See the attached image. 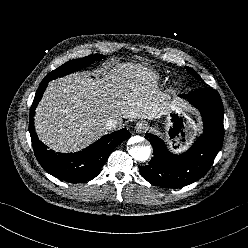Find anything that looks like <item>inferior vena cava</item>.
Wrapping results in <instances>:
<instances>
[{
  "mask_svg": "<svg viewBox=\"0 0 248 248\" xmlns=\"http://www.w3.org/2000/svg\"><path fill=\"white\" fill-rule=\"evenodd\" d=\"M118 126V121L115 119H108L104 125L107 130H113Z\"/></svg>",
  "mask_w": 248,
  "mask_h": 248,
  "instance_id": "602c4592",
  "label": "inferior vena cava"
}]
</instances>
